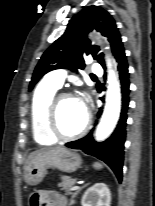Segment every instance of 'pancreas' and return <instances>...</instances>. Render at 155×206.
Listing matches in <instances>:
<instances>
[{
	"mask_svg": "<svg viewBox=\"0 0 155 206\" xmlns=\"http://www.w3.org/2000/svg\"><path fill=\"white\" fill-rule=\"evenodd\" d=\"M62 182L58 184L59 187H61L62 190H65L68 193L75 185L76 179H72L68 176H62L61 177Z\"/></svg>",
	"mask_w": 155,
	"mask_h": 206,
	"instance_id": "obj_1",
	"label": "pancreas"
}]
</instances>
